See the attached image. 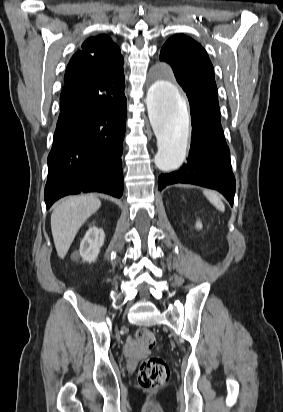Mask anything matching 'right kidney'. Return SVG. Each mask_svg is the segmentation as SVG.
I'll return each mask as SVG.
<instances>
[{
    "label": "right kidney",
    "instance_id": "right-kidney-1",
    "mask_svg": "<svg viewBox=\"0 0 283 412\" xmlns=\"http://www.w3.org/2000/svg\"><path fill=\"white\" fill-rule=\"evenodd\" d=\"M105 239V234L102 229L93 226L86 232L80 243V255L84 261L94 262L100 252Z\"/></svg>",
    "mask_w": 283,
    "mask_h": 412
}]
</instances>
